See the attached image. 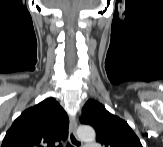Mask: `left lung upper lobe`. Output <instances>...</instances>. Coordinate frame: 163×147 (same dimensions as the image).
<instances>
[{
  "mask_svg": "<svg viewBox=\"0 0 163 147\" xmlns=\"http://www.w3.org/2000/svg\"><path fill=\"white\" fill-rule=\"evenodd\" d=\"M82 111L81 122L95 129L96 141L104 147H142L127 122L108 112L101 103L90 99Z\"/></svg>",
  "mask_w": 163,
  "mask_h": 147,
  "instance_id": "5c2ea615",
  "label": "left lung upper lobe"
}]
</instances>
